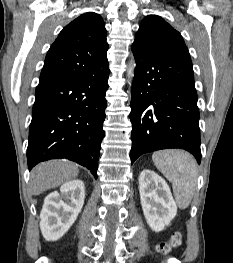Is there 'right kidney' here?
<instances>
[{
	"instance_id": "obj_1",
	"label": "right kidney",
	"mask_w": 233,
	"mask_h": 263,
	"mask_svg": "<svg viewBox=\"0 0 233 263\" xmlns=\"http://www.w3.org/2000/svg\"><path fill=\"white\" fill-rule=\"evenodd\" d=\"M85 199V187L81 180H71L44 200L40 213V228L47 241L60 239L75 222Z\"/></svg>"
}]
</instances>
